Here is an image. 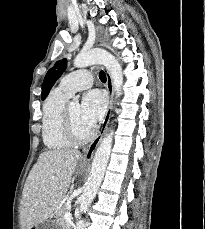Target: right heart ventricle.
I'll return each mask as SVG.
<instances>
[{
  "mask_svg": "<svg viewBox=\"0 0 205 229\" xmlns=\"http://www.w3.org/2000/svg\"><path fill=\"white\" fill-rule=\"evenodd\" d=\"M69 95L59 88L53 90L45 99L42 117V138L50 150H62L71 146L62 129V114Z\"/></svg>",
  "mask_w": 205,
  "mask_h": 229,
  "instance_id": "1",
  "label": "right heart ventricle"
}]
</instances>
